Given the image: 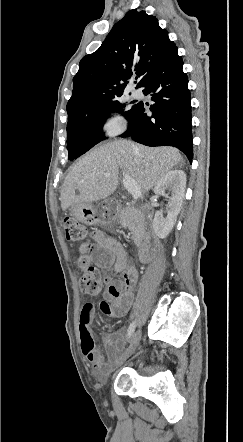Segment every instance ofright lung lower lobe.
<instances>
[{
    "label": "right lung lower lobe",
    "mask_w": 243,
    "mask_h": 442,
    "mask_svg": "<svg viewBox=\"0 0 243 442\" xmlns=\"http://www.w3.org/2000/svg\"><path fill=\"white\" fill-rule=\"evenodd\" d=\"M182 67L176 50L146 79L143 93L152 94L153 114L147 116L143 102L137 103L121 137H131L148 146L176 147L192 162L191 96Z\"/></svg>",
    "instance_id": "1"
}]
</instances>
